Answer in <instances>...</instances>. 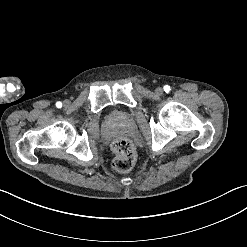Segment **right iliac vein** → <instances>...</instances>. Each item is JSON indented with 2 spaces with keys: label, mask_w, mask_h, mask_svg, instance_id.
<instances>
[{
  "label": "right iliac vein",
  "mask_w": 247,
  "mask_h": 247,
  "mask_svg": "<svg viewBox=\"0 0 247 247\" xmlns=\"http://www.w3.org/2000/svg\"><path fill=\"white\" fill-rule=\"evenodd\" d=\"M64 105H65V106H68V105H69V101H67V100L64 101Z\"/></svg>",
  "instance_id": "obj_1"
}]
</instances>
